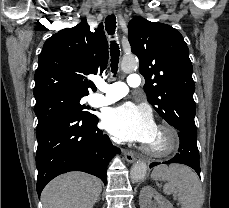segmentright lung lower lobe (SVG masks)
<instances>
[{
	"mask_svg": "<svg viewBox=\"0 0 229 208\" xmlns=\"http://www.w3.org/2000/svg\"><path fill=\"white\" fill-rule=\"evenodd\" d=\"M96 115L61 116L37 131V193L56 176L83 171L106 184V170L114 155L109 137L97 128Z\"/></svg>",
	"mask_w": 229,
	"mask_h": 208,
	"instance_id": "1",
	"label": "right lung lower lobe"
}]
</instances>
